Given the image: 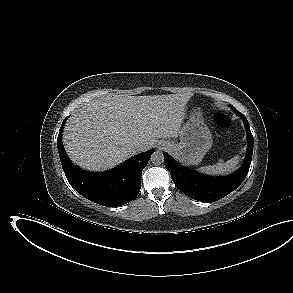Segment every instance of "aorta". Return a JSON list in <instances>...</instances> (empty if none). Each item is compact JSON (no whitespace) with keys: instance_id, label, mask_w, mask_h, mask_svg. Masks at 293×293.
Returning <instances> with one entry per match:
<instances>
[{"instance_id":"obj_1","label":"aorta","mask_w":293,"mask_h":293,"mask_svg":"<svg viewBox=\"0 0 293 293\" xmlns=\"http://www.w3.org/2000/svg\"><path fill=\"white\" fill-rule=\"evenodd\" d=\"M150 160L154 165H160L164 161V156L160 151H156L151 155Z\"/></svg>"}]
</instances>
